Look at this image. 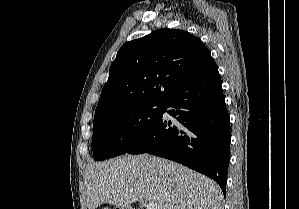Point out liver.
Returning a JSON list of instances; mask_svg holds the SVG:
<instances>
[{"label": "liver", "instance_id": "6515ba94", "mask_svg": "<svg viewBox=\"0 0 299 209\" xmlns=\"http://www.w3.org/2000/svg\"><path fill=\"white\" fill-rule=\"evenodd\" d=\"M88 209L145 200L157 209H223L216 182L178 163L142 154L90 163L85 171Z\"/></svg>", "mask_w": 299, "mask_h": 209}]
</instances>
